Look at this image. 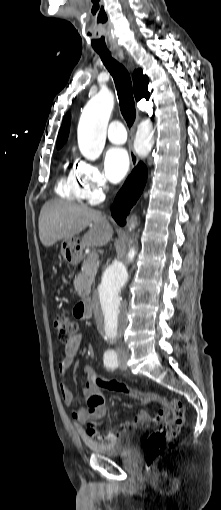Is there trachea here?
Returning <instances> with one entry per match:
<instances>
[{
  "label": "trachea",
  "mask_w": 221,
  "mask_h": 510,
  "mask_svg": "<svg viewBox=\"0 0 221 510\" xmlns=\"http://www.w3.org/2000/svg\"><path fill=\"white\" fill-rule=\"evenodd\" d=\"M97 53L114 79L121 113L131 127L136 118V109L130 75L124 66L111 56L110 52L97 51Z\"/></svg>",
  "instance_id": "trachea-1"
}]
</instances>
